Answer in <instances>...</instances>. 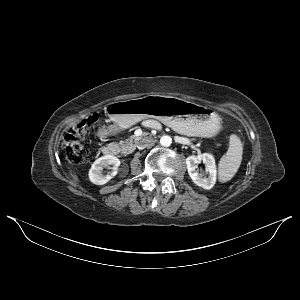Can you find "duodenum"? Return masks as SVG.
Masks as SVG:
<instances>
[{
	"mask_svg": "<svg viewBox=\"0 0 300 300\" xmlns=\"http://www.w3.org/2000/svg\"><path fill=\"white\" fill-rule=\"evenodd\" d=\"M117 153V148L112 145H107L103 148V154L107 157H114Z\"/></svg>",
	"mask_w": 300,
	"mask_h": 300,
	"instance_id": "410a0bca",
	"label": "duodenum"
}]
</instances>
